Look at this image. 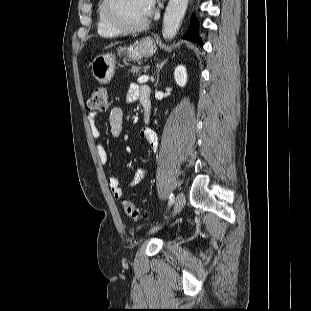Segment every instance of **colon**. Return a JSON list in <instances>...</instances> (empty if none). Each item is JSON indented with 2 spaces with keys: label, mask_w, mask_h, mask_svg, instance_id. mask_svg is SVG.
<instances>
[{
  "label": "colon",
  "mask_w": 311,
  "mask_h": 311,
  "mask_svg": "<svg viewBox=\"0 0 311 311\" xmlns=\"http://www.w3.org/2000/svg\"><path fill=\"white\" fill-rule=\"evenodd\" d=\"M87 107L92 111H106L109 107V98L107 91L104 87H95L87 102ZM122 206L126 215L132 219L141 218L142 215L130 200H122Z\"/></svg>",
  "instance_id": "1"
}]
</instances>
